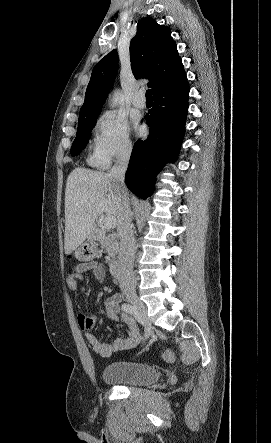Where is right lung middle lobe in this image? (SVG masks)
Here are the masks:
<instances>
[{"instance_id": "1", "label": "right lung middle lobe", "mask_w": 271, "mask_h": 443, "mask_svg": "<svg viewBox=\"0 0 271 443\" xmlns=\"http://www.w3.org/2000/svg\"><path fill=\"white\" fill-rule=\"evenodd\" d=\"M97 116L78 120L77 135L71 147V155H78L87 145L90 133L96 124Z\"/></svg>"}]
</instances>
